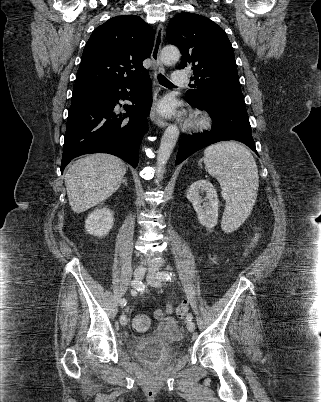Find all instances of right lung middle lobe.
Masks as SVG:
<instances>
[{
  "mask_svg": "<svg viewBox=\"0 0 321 402\" xmlns=\"http://www.w3.org/2000/svg\"><path fill=\"white\" fill-rule=\"evenodd\" d=\"M98 86H78V87H74L73 88V95H78V94H82V93H86L89 91H93L95 89H97Z\"/></svg>",
  "mask_w": 321,
  "mask_h": 402,
  "instance_id": "1",
  "label": "right lung middle lobe"
}]
</instances>
